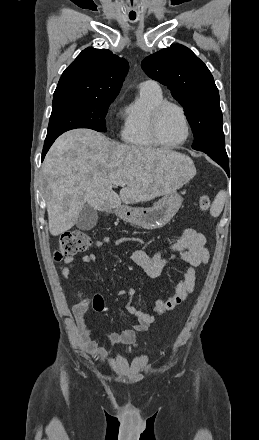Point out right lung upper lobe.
<instances>
[{"label":"right lung upper lobe","mask_w":259,"mask_h":440,"mask_svg":"<svg viewBox=\"0 0 259 440\" xmlns=\"http://www.w3.org/2000/svg\"><path fill=\"white\" fill-rule=\"evenodd\" d=\"M128 68V62L111 51L88 47L63 72L54 96L116 98Z\"/></svg>","instance_id":"obj_1"}]
</instances>
